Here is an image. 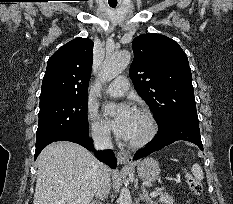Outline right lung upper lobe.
I'll return each mask as SVG.
<instances>
[{"label":"right lung upper lobe","mask_w":233,"mask_h":204,"mask_svg":"<svg viewBox=\"0 0 233 204\" xmlns=\"http://www.w3.org/2000/svg\"><path fill=\"white\" fill-rule=\"evenodd\" d=\"M93 41L78 37L61 46L48 60L40 101L88 97Z\"/></svg>","instance_id":"cb5924a9"}]
</instances>
